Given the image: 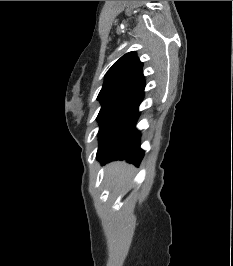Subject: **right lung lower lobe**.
Returning a JSON list of instances; mask_svg holds the SVG:
<instances>
[{"mask_svg": "<svg viewBox=\"0 0 233 266\" xmlns=\"http://www.w3.org/2000/svg\"><path fill=\"white\" fill-rule=\"evenodd\" d=\"M139 114L137 109L105 142L97 152V160L102 164L113 160H126L137 166L140 164L144 151L140 148V134L135 128Z\"/></svg>", "mask_w": 233, "mask_h": 266, "instance_id": "obj_1", "label": "right lung lower lobe"}]
</instances>
